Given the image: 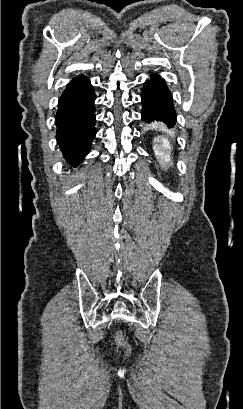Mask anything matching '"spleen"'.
Masks as SVG:
<instances>
[{
	"instance_id": "spleen-1",
	"label": "spleen",
	"mask_w": 243,
	"mask_h": 409,
	"mask_svg": "<svg viewBox=\"0 0 243 409\" xmlns=\"http://www.w3.org/2000/svg\"><path fill=\"white\" fill-rule=\"evenodd\" d=\"M155 145H154V152L157 158H159L161 164H165L171 161L170 158V142L168 141L167 138H160V139H155Z\"/></svg>"
}]
</instances>
